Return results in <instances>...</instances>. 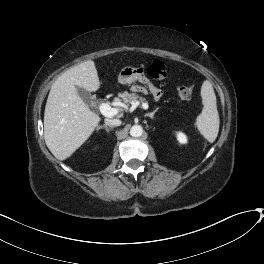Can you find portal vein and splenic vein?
Segmentation results:
<instances>
[{"label": "portal vein and splenic vein", "mask_w": 264, "mask_h": 264, "mask_svg": "<svg viewBox=\"0 0 264 264\" xmlns=\"http://www.w3.org/2000/svg\"><path fill=\"white\" fill-rule=\"evenodd\" d=\"M142 108L147 110L148 109V104L147 103H142ZM99 110L102 113V115L106 117H112L117 114V109L111 108V106L108 103H101L99 105Z\"/></svg>", "instance_id": "1"}]
</instances>
